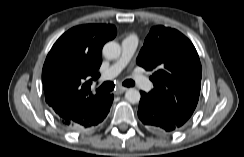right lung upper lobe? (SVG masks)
Instances as JSON below:
<instances>
[{
	"label": "right lung upper lobe",
	"instance_id": "cb5924a9",
	"mask_svg": "<svg viewBox=\"0 0 244 157\" xmlns=\"http://www.w3.org/2000/svg\"><path fill=\"white\" fill-rule=\"evenodd\" d=\"M116 33L113 25H81L55 42L43 66L42 82L46 102L57 118L82 116L104 100L105 94H92L90 86L100 76L102 47Z\"/></svg>",
	"mask_w": 244,
	"mask_h": 157
}]
</instances>
